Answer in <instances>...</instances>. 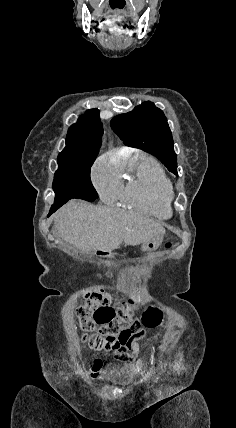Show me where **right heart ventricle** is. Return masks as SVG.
<instances>
[{
    "label": "right heart ventricle",
    "instance_id": "e07e8e85",
    "mask_svg": "<svg viewBox=\"0 0 236 428\" xmlns=\"http://www.w3.org/2000/svg\"><path fill=\"white\" fill-rule=\"evenodd\" d=\"M117 168L118 171H130L121 195L124 202L157 218L171 216L175 198L174 184L152 157L137 152L130 160L119 163Z\"/></svg>",
    "mask_w": 236,
    "mask_h": 428
}]
</instances>
